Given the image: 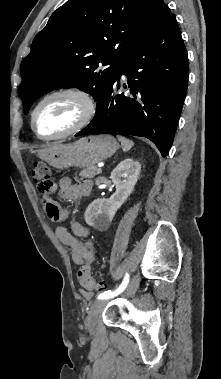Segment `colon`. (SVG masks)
<instances>
[{"mask_svg": "<svg viewBox=\"0 0 221 379\" xmlns=\"http://www.w3.org/2000/svg\"><path fill=\"white\" fill-rule=\"evenodd\" d=\"M31 177L34 183L38 186L41 195H46L52 188L51 172L49 167L42 162H36L33 165ZM87 254L85 257L86 263L78 271V279L81 286L88 290H99L101 284L98 283L91 274V264L95 257V247L91 241L86 243Z\"/></svg>", "mask_w": 221, "mask_h": 379, "instance_id": "5ec220e1", "label": "colon"}]
</instances>
